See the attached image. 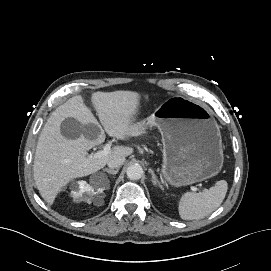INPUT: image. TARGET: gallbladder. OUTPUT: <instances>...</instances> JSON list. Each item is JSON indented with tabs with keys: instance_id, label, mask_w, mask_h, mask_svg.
<instances>
[{
	"instance_id": "gallbladder-1",
	"label": "gallbladder",
	"mask_w": 271,
	"mask_h": 271,
	"mask_svg": "<svg viewBox=\"0 0 271 271\" xmlns=\"http://www.w3.org/2000/svg\"><path fill=\"white\" fill-rule=\"evenodd\" d=\"M100 129L95 124L82 125L76 119L67 118L61 124V133L67 139H77L81 135L89 137L97 134Z\"/></svg>"
}]
</instances>
